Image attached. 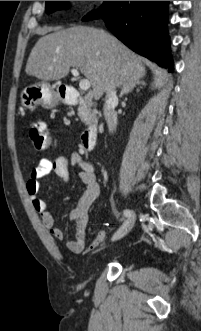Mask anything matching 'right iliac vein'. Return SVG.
I'll return each instance as SVG.
<instances>
[{
  "instance_id": "right-iliac-vein-1",
  "label": "right iliac vein",
  "mask_w": 201,
  "mask_h": 331,
  "mask_svg": "<svg viewBox=\"0 0 201 331\" xmlns=\"http://www.w3.org/2000/svg\"><path fill=\"white\" fill-rule=\"evenodd\" d=\"M134 223H135V213L131 210L130 216L122 225V227L115 233L112 240H119L123 238L125 235H127L130 232V230L133 228Z\"/></svg>"
}]
</instances>
